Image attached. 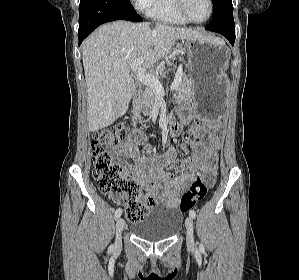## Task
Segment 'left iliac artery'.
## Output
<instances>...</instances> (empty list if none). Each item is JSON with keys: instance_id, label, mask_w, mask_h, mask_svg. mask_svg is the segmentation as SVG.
I'll return each mask as SVG.
<instances>
[{"instance_id": "obj_1", "label": "left iliac artery", "mask_w": 299, "mask_h": 280, "mask_svg": "<svg viewBox=\"0 0 299 280\" xmlns=\"http://www.w3.org/2000/svg\"><path fill=\"white\" fill-rule=\"evenodd\" d=\"M189 215H190L192 218L195 219V217H196V212H195L194 210H191V211L189 212Z\"/></svg>"}]
</instances>
